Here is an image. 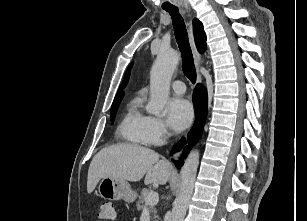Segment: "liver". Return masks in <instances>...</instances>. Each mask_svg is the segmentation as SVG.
<instances>
[{"mask_svg": "<svg viewBox=\"0 0 307 221\" xmlns=\"http://www.w3.org/2000/svg\"><path fill=\"white\" fill-rule=\"evenodd\" d=\"M171 165L160 160L149 148L133 144H118L101 149L92 159L87 179V192L92 193L105 177L137 182L145 176V184H166Z\"/></svg>", "mask_w": 307, "mask_h": 221, "instance_id": "liver-1", "label": "liver"}]
</instances>
